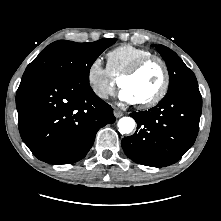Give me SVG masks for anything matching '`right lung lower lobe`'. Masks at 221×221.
<instances>
[{
	"label": "right lung lower lobe",
	"instance_id": "98d812e1",
	"mask_svg": "<svg viewBox=\"0 0 221 221\" xmlns=\"http://www.w3.org/2000/svg\"><path fill=\"white\" fill-rule=\"evenodd\" d=\"M24 143L40 160L71 164L86 156L97 131L115 121L89 82L50 72L24 73L16 93Z\"/></svg>",
	"mask_w": 221,
	"mask_h": 221
}]
</instances>
